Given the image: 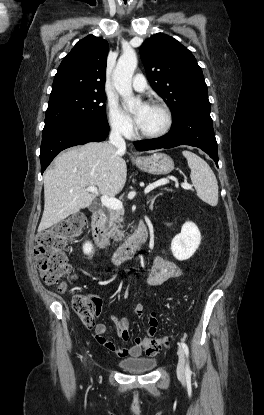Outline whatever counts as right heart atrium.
<instances>
[{"mask_svg": "<svg viewBox=\"0 0 264 415\" xmlns=\"http://www.w3.org/2000/svg\"><path fill=\"white\" fill-rule=\"evenodd\" d=\"M108 118L114 132L125 137L133 135V123L115 99L108 101Z\"/></svg>", "mask_w": 264, "mask_h": 415, "instance_id": "d8ad5b80", "label": "right heart atrium"}]
</instances>
